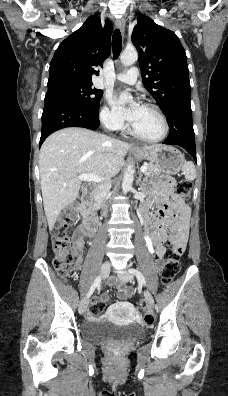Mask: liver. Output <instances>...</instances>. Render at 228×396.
Listing matches in <instances>:
<instances>
[{"instance_id":"liver-1","label":"liver","mask_w":228,"mask_h":396,"mask_svg":"<svg viewBox=\"0 0 228 396\" xmlns=\"http://www.w3.org/2000/svg\"><path fill=\"white\" fill-rule=\"evenodd\" d=\"M161 145L145 146L153 150ZM131 145L97 132L70 127L51 134L42 144L39 170L44 211L49 229L61 211L74 202L83 188L80 174L109 179L124 165Z\"/></svg>"}]
</instances>
